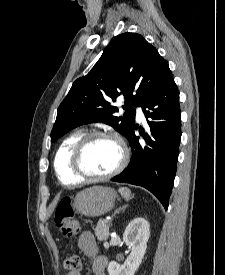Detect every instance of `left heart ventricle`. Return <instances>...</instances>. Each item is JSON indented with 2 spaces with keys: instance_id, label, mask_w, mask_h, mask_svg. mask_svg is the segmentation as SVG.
Listing matches in <instances>:
<instances>
[{
  "instance_id": "left-heart-ventricle-1",
  "label": "left heart ventricle",
  "mask_w": 225,
  "mask_h": 275,
  "mask_svg": "<svg viewBox=\"0 0 225 275\" xmlns=\"http://www.w3.org/2000/svg\"><path fill=\"white\" fill-rule=\"evenodd\" d=\"M120 160L118 144L106 138L93 140L82 156V166L93 175H103L112 171Z\"/></svg>"
}]
</instances>
